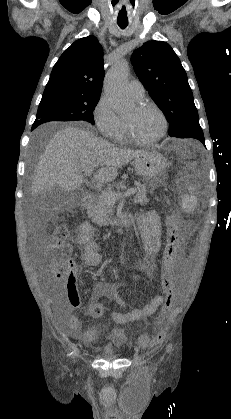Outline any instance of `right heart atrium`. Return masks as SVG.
I'll return each mask as SVG.
<instances>
[{
	"label": "right heart atrium",
	"instance_id": "1",
	"mask_svg": "<svg viewBox=\"0 0 231 419\" xmlns=\"http://www.w3.org/2000/svg\"><path fill=\"white\" fill-rule=\"evenodd\" d=\"M93 116L103 136L111 139H121L125 135V123L115 113L106 96H101L97 101Z\"/></svg>",
	"mask_w": 231,
	"mask_h": 419
}]
</instances>
